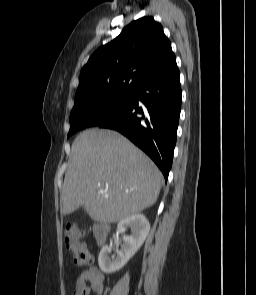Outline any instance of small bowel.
Returning a JSON list of instances; mask_svg holds the SVG:
<instances>
[{"instance_id": "1", "label": "small bowel", "mask_w": 256, "mask_h": 295, "mask_svg": "<svg viewBox=\"0 0 256 295\" xmlns=\"http://www.w3.org/2000/svg\"><path fill=\"white\" fill-rule=\"evenodd\" d=\"M89 282V285L86 283ZM104 291V275L94 265L89 266L82 271L76 281L75 293L77 295H89L93 292L96 295H102Z\"/></svg>"}]
</instances>
